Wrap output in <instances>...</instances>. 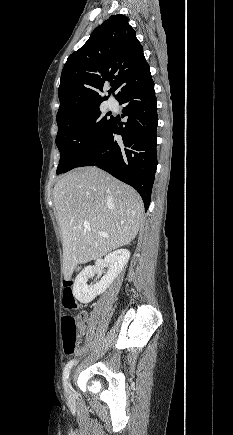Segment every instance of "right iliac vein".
<instances>
[{
    "instance_id": "63e3f726",
    "label": "right iliac vein",
    "mask_w": 233,
    "mask_h": 435,
    "mask_svg": "<svg viewBox=\"0 0 233 435\" xmlns=\"http://www.w3.org/2000/svg\"><path fill=\"white\" fill-rule=\"evenodd\" d=\"M68 397L69 398L71 397V385L70 384L68 385Z\"/></svg>"
}]
</instances>
